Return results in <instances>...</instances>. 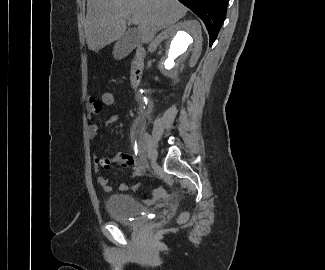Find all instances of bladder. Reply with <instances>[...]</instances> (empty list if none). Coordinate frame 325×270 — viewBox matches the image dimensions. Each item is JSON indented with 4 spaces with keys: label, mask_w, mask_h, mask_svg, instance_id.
<instances>
[{
    "label": "bladder",
    "mask_w": 325,
    "mask_h": 270,
    "mask_svg": "<svg viewBox=\"0 0 325 270\" xmlns=\"http://www.w3.org/2000/svg\"><path fill=\"white\" fill-rule=\"evenodd\" d=\"M108 215L115 221L131 226L146 219L148 209L126 194L111 195L105 202Z\"/></svg>",
    "instance_id": "bladder-1"
}]
</instances>
